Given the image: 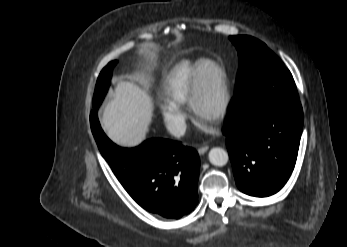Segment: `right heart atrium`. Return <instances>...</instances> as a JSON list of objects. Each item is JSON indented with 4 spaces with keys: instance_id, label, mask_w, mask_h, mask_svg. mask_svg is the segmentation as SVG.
I'll list each match as a JSON object with an SVG mask.
<instances>
[{
    "instance_id": "obj_1",
    "label": "right heart atrium",
    "mask_w": 347,
    "mask_h": 247,
    "mask_svg": "<svg viewBox=\"0 0 347 247\" xmlns=\"http://www.w3.org/2000/svg\"><path fill=\"white\" fill-rule=\"evenodd\" d=\"M160 113L166 127L173 135L184 134L187 127V115L181 105L165 101L160 105Z\"/></svg>"
}]
</instances>
